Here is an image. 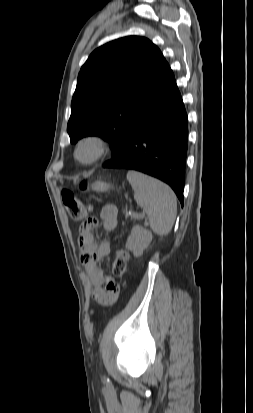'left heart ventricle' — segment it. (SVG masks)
Returning a JSON list of instances; mask_svg holds the SVG:
<instances>
[{"instance_id": "left-heart-ventricle-1", "label": "left heart ventricle", "mask_w": 253, "mask_h": 413, "mask_svg": "<svg viewBox=\"0 0 253 413\" xmlns=\"http://www.w3.org/2000/svg\"><path fill=\"white\" fill-rule=\"evenodd\" d=\"M82 154H83V156H88L90 154V151L89 150H84Z\"/></svg>"}]
</instances>
